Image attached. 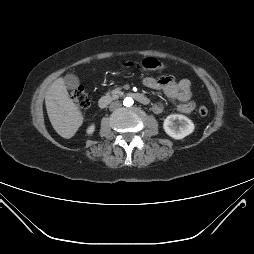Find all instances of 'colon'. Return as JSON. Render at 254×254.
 Wrapping results in <instances>:
<instances>
[{"instance_id":"1","label":"colon","mask_w":254,"mask_h":254,"mask_svg":"<svg viewBox=\"0 0 254 254\" xmlns=\"http://www.w3.org/2000/svg\"><path fill=\"white\" fill-rule=\"evenodd\" d=\"M128 66H137L144 70H161L164 65L161 61L154 57H147L140 62H128ZM74 103L79 107V109L85 111L90 107V99L88 94L82 87L75 88L71 93ZM198 113L200 116H206L208 114V109L206 106L201 105L198 108Z\"/></svg>"}]
</instances>
